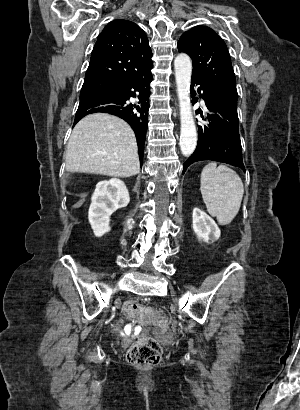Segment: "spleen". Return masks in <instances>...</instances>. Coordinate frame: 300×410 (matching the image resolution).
<instances>
[{"label":"spleen","instance_id":"spleen-1","mask_svg":"<svg viewBox=\"0 0 300 410\" xmlns=\"http://www.w3.org/2000/svg\"><path fill=\"white\" fill-rule=\"evenodd\" d=\"M200 190L209 214L215 216L220 225L231 223L244 194L239 175L225 165L209 163L202 170Z\"/></svg>","mask_w":300,"mask_h":410}]
</instances>
